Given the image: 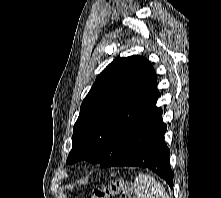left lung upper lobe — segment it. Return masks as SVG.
I'll return each instance as SVG.
<instances>
[{
    "instance_id": "obj_1",
    "label": "left lung upper lobe",
    "mask_w": 221,
    "mask_h": 198,
    "mask_svg": "<svg viewBox=\"0 0 221 198\" xmlns=\"http://www.w3.org/2000/svg\"><path fill=\"white\" fill-rule=\"evenodd\" d=\"M159 96L145 57L115 58L82 102L67 163L84 159L101 165L153 114Z\"/></svg>"
}]
</instances>
